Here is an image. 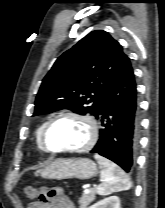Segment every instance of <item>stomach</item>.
<instances>
[{"label": "stomach", "instance_id": "1", "mask_svg": "<svg viewBox=\"0 0 165 208\" xmlns=\"http://www.w3.org/2000/svg\"><path fill=\"white\" fill-rule=\"evenodd\" d=\"M96 173L97 165L88 158H57L40 170L42 178L56 180H86L94 177Z\"/></svg>", "mask_w": 165, "mask_h": 208}]
</instances>
